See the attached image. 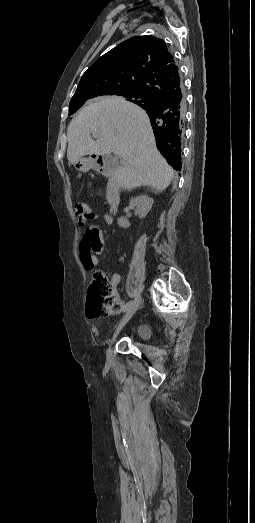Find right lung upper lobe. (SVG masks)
I'll use <instances>...</instances> for the list:
<instances>
[{"instance_id": "obj_1", "label": "right lung upper lobe", "mask_w": 255, "mask_h": 523, "mask_svg": "<svg viewBox=\"0 0 255 523\" xmlns=\"http://www.w3.org/2000/svg\"><path fill=\"white\" fill-rule=\"evenodd\" d=\"M182 89L179 68L166 43L153 36H137L120 43L86 70L69 106H83L86 102L129 91L145 92L148 98L135 103L147 112L155 133L156 123L152 116L155 106L161 101L177 96L182 101L176 112L180 133L173 139L181 144L185 111ZM156 144L167 162L179 170L181 148L169 155L165 152L164 145L158 142Z\"/></svg>"}]
</instances>
